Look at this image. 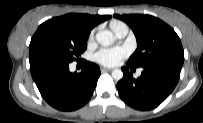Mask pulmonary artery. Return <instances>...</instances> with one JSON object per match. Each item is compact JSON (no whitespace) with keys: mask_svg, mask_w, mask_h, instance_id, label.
Listing matches in <instances>:
<instances>
[{"mask_svg":"<svg viewBox=\"0 0 203 123\" xmlns=\"http://www.w3.org/2000/svg\"><path fill=\"white\" fill-rule=\"evenodd\" d=\"M112 30L114 31L115 35L120 39L124 38L128 33V27L124 23L118 24L117 26L112 28Z\"/></svg>","mask_w":203,"mask_h":123,"instance_id":"obj_1","label":"pulmonary artery"}]
</instances>
